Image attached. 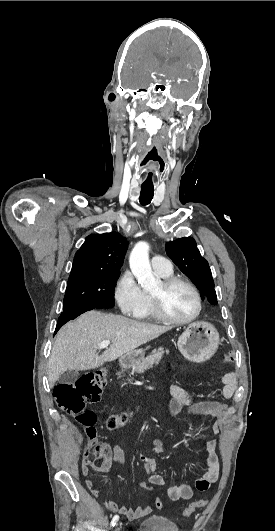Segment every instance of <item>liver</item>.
<instances>
[{"mask_svg": "<svg viewBox=\"0 0 275 531\" xmlns=\"http://www.w3.org/2000/svg\"><path fill=\"white\" fill-rule=\"evenodd\" d=\"M166 331H170V327L140 323L101 311H88L76 321L64 325L57 333L48 361L50 389L66 371L98 369L107 361H116ZM102 341H110L111 345L99 355L97 347Z\"/></svg>", "mask_w": 275, "mask_h": 531, "instance_id": "1", "label": "liver"}]
</instances>
